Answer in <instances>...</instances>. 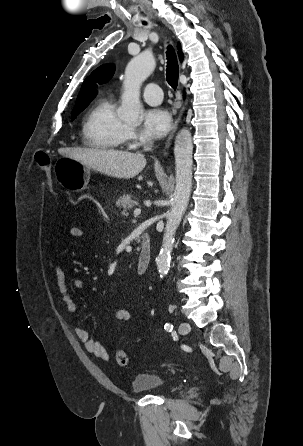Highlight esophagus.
<instances>
[{"label": "esophagus", "mask_w": 303, "mask_h": 446, "mask_svg": "<svg viewBox=\"0 0 303 446\" xmlns=\"http://www.w3.org/2000/svg\"><path fill=\"white\" fill-rule=\"evenodd\" d=\"M182 112H183V108L181 109V112H180L179 116L176 118V120L172 124V128H171L170 134L168 136V139H167V142H166V145H165L164 155L167 154V149L169 148L170 143H171V141L173 139V136H174V134H175V132L177 130V126H178L180 117L182 115Z\"/></svg>", "instance_id": "esophagus-1"}]
</instances>
